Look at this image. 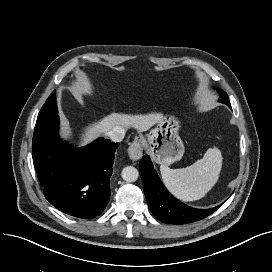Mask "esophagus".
<instances>
[{
    "instance_id": "obj_1",
    "label": "esophagus",
    "mask_w": 272,
    "mask_h": 272,
    "mask_svg": "<svg viewBox=\"0 0 272 272\" xmlns=\"http://www.w3.org/2000/svg\"><path fill=\"white\" fill-rule=\"evenodd\" d=\"M129 157L136 161L139 160L142 156L143 147L139 140H134L131 145L129 146L128 150Z\"/></svg>"
}]
</instances>
